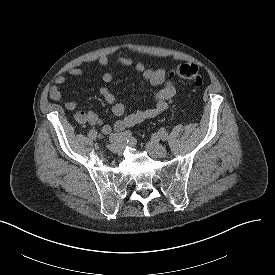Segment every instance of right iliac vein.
<instances>
[{
	"mask_svg": "<svg viewBox=\"0 0 275 275\" xmlns=\"http://www.w3.org/2000/svg\"><path fill=\"white\" fill-rule=\"evenodd\" d=\"M107 147L113 153L118 152L121 148L120 144H117V143L109 144Z\"/></svg>",
	"mask_w": 275,
	"mask_h": 275,
	"instance_id": "obj_1",
	"label": "right iliac vein"
}]
</instances>
